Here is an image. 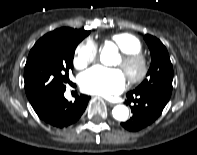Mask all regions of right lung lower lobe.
<instances>
[{"mask_svg": "<svg viewBox=\"0 0 197 155\" xmlns=\"http://www.w3.org/2000/svg\"><path fill=\"white\" fill-rule=\"evenodd\" d=\"M64 91L51 95L33 106L43 121L58 128L75 123L84 112L90 99L89 96L81 94L75 98L74 102H69L64 98Z\"/></svg>", "mask_w": 197, "mask_h": 155, "instance_id": "right-lung-lower-lobe-1", "label": "right lung lower lobe"}]
</instances>
